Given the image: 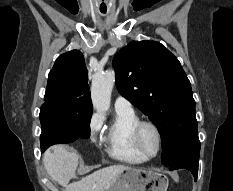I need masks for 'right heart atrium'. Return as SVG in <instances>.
<instances>
[{
	"label": "right heart atrium",
	"mask_w": 233,
	"mask_h": 191,
	"mask_svg": "<svg viewBox=\"0 0 233 191\" xmlns=\"http://www.w3.org/2000/svg\"><path fill=\"white\" fill-rule=\"evenodd\" d=\"M102 128V119L99 115L95 114L91 117L89 122V136L93 142L97 141L98 134Z\"/></svg>",
	"instance_id": "right-heart-atrium-1"
}]
</instances>
